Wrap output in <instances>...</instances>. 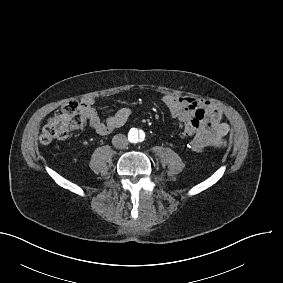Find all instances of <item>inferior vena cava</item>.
I'll return each mask as SVG.
<instances>
[{"label": "inferior vena cava", "mask_w": 283, "mask_h": 283, "mask_svg": "<svg viewBox=\"0 0 283 283\" xmlns=\"http://www.w3.org/2000/svg\"><path fill=\"white\" fill-rule=\"evenodd\" d=\"M112 144L117 149H125L128 146V139L124 134H117L113 137Z\"/></svg>", "instance_id": "inferior-vena-cava-1"}]
</instances>
